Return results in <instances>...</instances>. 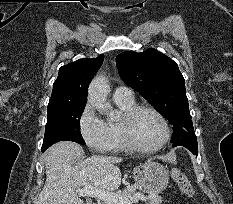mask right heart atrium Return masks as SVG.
Listing matches in <instances>:
<instances>
[{
	"label": "right heart atrium",
	"mask_w": 233,
	"mask_h": 204,
	"mask_svg": "<svg viewBox=\"0 0 233 204\" xmlns=\"http://www.w3.org/2000/svg\"><path fill=\"white\" fill-rule=\"evenodd\" d=\"M80 134L88 146L94 152H105L111 149V138L106 122L96 113L94 107L87 103L79 118Z\"/></svg>",
	"instance_id": "right-heart-atrium-1"
}]
</instances>
